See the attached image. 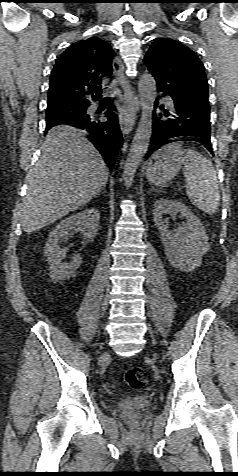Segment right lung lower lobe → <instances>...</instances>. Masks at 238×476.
I'll use <instances>...</instances> for the list:
<instances>
[{"instance_id":"obj_1","label":"right lung lower lobe","mask_w":238,"mask_h":476,"mask_svg":"<svg viewBox=\"0 0 238 476\" xmlns=\"http://www.w3.org/2000/svg\"><path fill=\"white\" fill-rule=\"evenodd\" d=\"M110 106L104 113L107 121L102 122L93 115L86 114L76 117L68 122L61 123L80 128L89 133L88 139L102 154L109 168L112 169L119 148L122 145V134L118 124V117ZM59 125V124H55ZM55 125L46 123V131Z\"/></svg>"}]
</instances>
